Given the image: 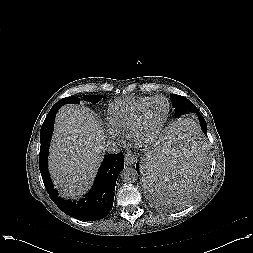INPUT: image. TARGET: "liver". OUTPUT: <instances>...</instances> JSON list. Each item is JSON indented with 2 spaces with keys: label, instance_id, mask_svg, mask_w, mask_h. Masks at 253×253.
<instances>
[{
  "label": "liver",
  "instance_id": "1",
  "mask_svg": "<svg viewBox=\"0 0 253 253\" xmlns=\"http://www.w3.org/2000/svg\"><path fill=\"white\" fill-rule=\"evenodd\" d=\"M104 140L100 121L89 108L67 105L59 109L49 170L64 196L79 198L91 187L103 159Z\"/></svg>",
  "mask_w": 253,
  "mask_h": 253
}]
</instances>
